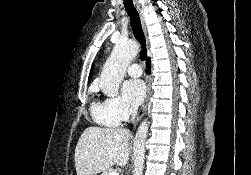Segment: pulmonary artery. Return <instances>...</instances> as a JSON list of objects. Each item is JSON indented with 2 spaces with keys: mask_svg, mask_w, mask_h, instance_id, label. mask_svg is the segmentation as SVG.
Wrapping results in <instances>:
<instances>
[{
  "mask_svg": "<svg viewBox=\"0 0 251 175\" xmlns=\"http://www.w3.org/2000/svg\"><path fill=\"white\" fill-rule=\"evenodd\" d=\"M127 73L130 75V76H140L142 75L143 73V70L142 68L140 67L139 64L137 63H132L128 66L127 68Z\"/></svg>",
  "mask_w": 251,
  "mask_h": 175,
  "instance_id": "pulmonary-artery-1",
  "label": "pulmonary artery"
}]
</instances>
